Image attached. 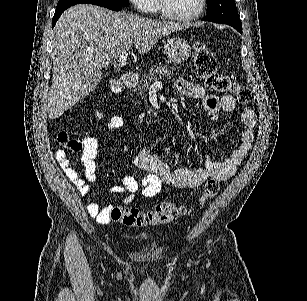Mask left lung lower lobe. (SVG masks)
<instances>
[{
	"mask_svg": "<svg viewBox=\"0 0 307 301\" xmlns=\"http://www.w3.org/2000/svg\"><path fill=\"white\" fill-rule=\"evenodd\" d=\"M238 31H239L240 33H242V27H241V29H239Z\"/></svg>",
	"mask_w": 307,
	"mask_h": 301,
	"instance_id": "left-lung-lower-lobe-1",
	"label": "left lung lower lobe"
}]
</instances>
